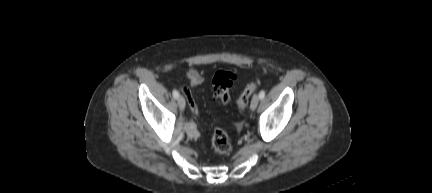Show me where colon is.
I'll list each match as a JSON object with an SVG mask.
<instances>
[{"mask_svg":"<svg viewBox=\"0 0 432 193\" xmlns=\"http://www.w3.org/2000/svg\"><path fill=\"white\" fill-rule=\"evenodd\" d=\"M237 76L230 71L220 70L216 72L212 80L213 95L223 104L231 102L230 90L236 81ZM257 84L252 82L244 88L241 95L236 101V107L239 110L245 109L251 95L256 91ZM212 147L219 155H227L232 149V141L227 133L219 127H216L212 135Z\"/></svg>","mask_w":432,"mask_h":193,"instance_id":"1","label":"colon"}]
</instances>
